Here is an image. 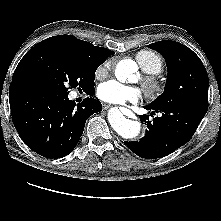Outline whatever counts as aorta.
Returning <instances> with one entry per match:
<instances>
[{
	"label": "aorta",
	"instance_id": "1",
	"mask_svg": "<svg viewBox=\"0 0 221 221\" xmlns=\"http://www.w3.org/2000/svg\"><path fill=\"white\" fill-rule=\"evenodd\" d=\"M137 69L134 61L123 60L117 65L115 76L120 82H126L132 78ZM108 120L112 128L125 139L136 138L141 132V124L127 119L117 108L110 110Z\"/></svg>",
	"mask_w": 221,
	"mask_h": 221
}]
</instances>
